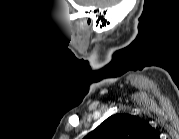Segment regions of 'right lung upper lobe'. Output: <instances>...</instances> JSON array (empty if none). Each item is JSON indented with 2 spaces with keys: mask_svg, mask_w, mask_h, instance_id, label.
I'll return each mask as SVG.
<instances>
[{
  "mask_svg": "<svg viewBox=\"0 0 179 139\" xmlns=\"http://www.w3.org/2000/svg\"><path fill=\"white\" fill-rule=\"evenodd\" d=\"M154 135V129L145 120L120 113L107 118L85 139H148Z\"/></svg>",
  "mask_w": 179,
  "mask_h": 139,
  "instance_id": "right-lung-upper-lobe-1",
  "label": "right lung upper lobe"
}]
</instances>
